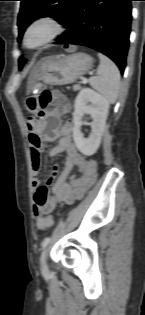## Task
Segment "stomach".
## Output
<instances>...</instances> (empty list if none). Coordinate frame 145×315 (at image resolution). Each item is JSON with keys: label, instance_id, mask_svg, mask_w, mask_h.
<instances>
[{"label": "stomach", "instance_id": "1", "mask_svg": "<svg viewBox=\"0 0 145 315\" xmlns=\"http://www.w3.org/2000/svg\"><path fill=\"white\" fill-rule=\"evenodd\" d=\"M43 67L36 80L51 85H65L75 82L78 78L92 69L93 59L90 55L82 52L67 56H52L42 59ZM23 109L30 111L38 109L35 96L30 94L23 102ZM36 114L35 110L31 111Z\"/></svg>", "mask_w": 145, "mask_h": 315}]
</instances>
